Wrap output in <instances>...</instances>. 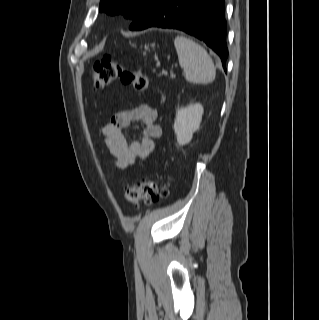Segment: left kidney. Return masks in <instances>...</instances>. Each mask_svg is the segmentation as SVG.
<instances>
[{
  "label": "left kidney",
  "instance_id": "left-kidney-1",
  "mask_svg": "<svg viewBox=\"0 0 319 320\" xmlns=\"http://www.w3.org/2000/svg\"><path fill=\"white\" fill-rule=\"evenodd\" d=\"M204 109L200 103L190 104L176 112L174 131L179 145L188 144L202 120Z\"/></svg>",
  "mask_w": 319,
  "mask_h": 320
}]
</instances>
